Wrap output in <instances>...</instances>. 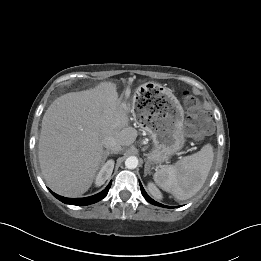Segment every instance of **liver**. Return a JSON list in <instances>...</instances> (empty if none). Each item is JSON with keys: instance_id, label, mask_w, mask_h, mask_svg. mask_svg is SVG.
Wrapping results in <instances>:
<instances>
[{"instance_id": "6515ba94", "label": "liver", "mask_w": 261, "mask_h": 261, "mask_svg": "<svg viewBox=\"0 0 261 261\" xmlns=\"http://www.w3.org/2000/svg\"><path fill=\"white\" fill-rule=\"evenodd\" d=\"M129 111L111 82L57 98L43 116L38 144L46 184L63 196L84 194L103 164L104 139L114 137L122 146L136 140Z\"/></svg>"}]
</instances>
